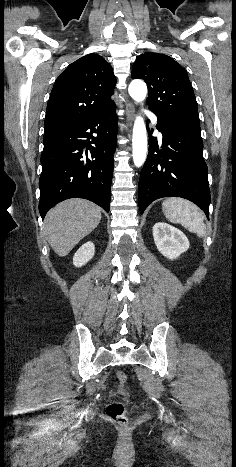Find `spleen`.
<instances>
[{"mask_svg": "<svg viewBox=\"0 0 236 467\" xmlns=\"http://www.w3.org/2000/svg\"><path fill=\"white\" fill-rule=\"evenodd\" d=\"M166 218L172 223H180L199 237L205 235L203 214L197 206L182 198H169L162 203Z\"/></svg>", "mask_w": 236, "mask_h": 467, "instance_id": "3e777b00", "label": "spleen"}]
</instances>
